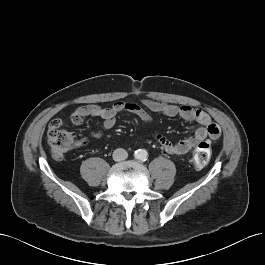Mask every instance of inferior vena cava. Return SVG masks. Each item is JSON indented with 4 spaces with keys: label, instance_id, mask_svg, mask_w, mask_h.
Listing matches in <instances>:
<instances>
[{
    "label": "inferior vena cava",
    "instance_id": "1",
    "mask_svg": "<svg viewBox=\"0 0 265 265\" xmlns=\"http://www.w3.org/2000/svg\"><path fill=\"white\" fill-rule=\"evenodd\" d=\"M128 157V153L125 149L123 148H117L116 150H114L113 152V159L115 161H122L127 159Z\"/></svg>",
    "mask_w": 265,
    "mask_h": 265
}]
</instances>
